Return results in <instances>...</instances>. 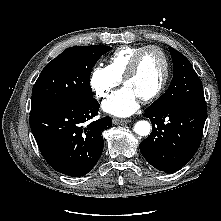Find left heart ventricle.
<instances>
[{"label": "left heart ventricle", "mask_w": 221, "mask_h": 221, "mask_svg": "<svg viewBox=\"0 0 221 221\" xmlns=\"http://www.w3.org/2000/svg\"><path fill=\"white\" fill-rule=\"evenodd\" d=\"M163 59L158 51L151 50L143 55L137 72L125 82L141 100L150 95L159 85L163 75Z\"/></svg>", "instance_id": "left-heart-ventricle-1"}]
</instances>
